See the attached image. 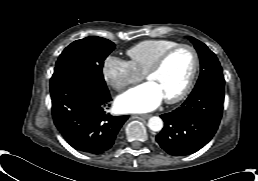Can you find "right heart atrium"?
<instances>
[{
    "label": "right heart atrium",
    "instance_id": "d8ad5b80",
    "mask_svg": "<svg viewBox=\"0 0 258 181\" xmlns=\"http://www.w3.org/2000/svg\"><path fill=\"white\" fill-rule=\"evenodd\" d=\"M103 78L116 90H123L143 79L129 61L115 56H108L102 66Z\"/></svg>",
    "mask_w": 258,
    "mask_h": 181
}]
</instances>
